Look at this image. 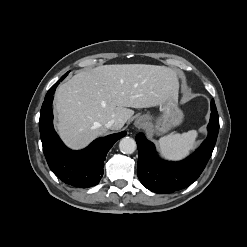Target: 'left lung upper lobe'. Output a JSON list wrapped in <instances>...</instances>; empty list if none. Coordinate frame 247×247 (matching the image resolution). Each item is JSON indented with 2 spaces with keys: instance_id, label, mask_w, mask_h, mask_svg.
Here are the masks:
<instances>
[{
  "instance_id": "obj_1",
  "label": "left lung upper lobe",
  "mask_w": 247,
  "mask_h": 247,
  "mask_svg": "<svg viewBox=\"0 0 247 247\" xmlns=\"http://www.w3.org/2000/svg\"><path fill=\"white\" fill-rule=\"evenodd\" d=\"M211 118H210V122H215L217 124H219V117H218V113L217 110H213L211 109Z\"/></svg>"
}]
</instances>
